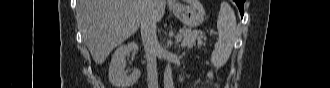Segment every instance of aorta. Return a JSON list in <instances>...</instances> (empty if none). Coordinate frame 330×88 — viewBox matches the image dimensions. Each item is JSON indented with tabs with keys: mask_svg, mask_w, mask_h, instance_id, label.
Listing matches in <instances>:
<instances>
[{
	"mask_svg": "<svg viewBox=\"0 0 330 88\" xmlns=\"http://www.w3.org/2000/svg\"><path fill=\"white\" fill-rule=\"evenodd\" d=\"M163 81H164V88H174L173 77H172V67L169 62L165 67Z\"/></svg>",
	"mask_w": 330,
	"mask_h": 88,
	"instance_id": "1",
	"label": "aorta"
}]
</instances>
